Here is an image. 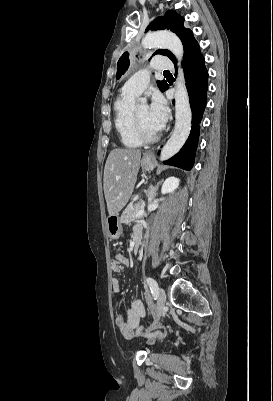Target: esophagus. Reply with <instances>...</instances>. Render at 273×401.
<instances>
[{
    "mask_svg": "<svg viewBox=\"0 0 273 401\" xmlns=\"http://www.w3.org/2000/svg\"><path fill=\"white\" fill-rule=\"evenodd\" d=\"M154 151H155V149H152L148 153H146L145 158L146 159H154Z\"/></svg>",
    "mask_w": 273,
    "mask_h": 401,
    "instance_id": "obj_1",
    "label": "esophagus"
}]
</instances>
